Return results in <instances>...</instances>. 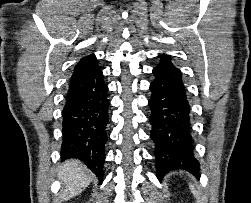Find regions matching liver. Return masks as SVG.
<instances>
[{
  "instance_id": "liver-1",
  "label": "liver",
  "mask_w": 251,
  "mask_h": 203,
  "mask_svg": "<svg viewBox=\"0 0 251 203\" xmlns=\"http://www.w3.org/2000/svg\"><path fill=\"white\" fill-rule=\"evenodd\" d=\"M58 177L65 189L62 193L64 200H69L80 194L92 181V176L86 167L77 160L67 161L59 169Z\"/></svg>"
}]
</instances>
